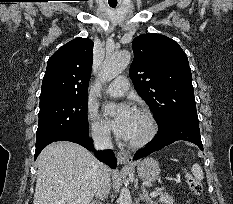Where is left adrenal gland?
I'll list each match as a JSON object with an SVG mask.
<instances>
[{"mask_svg":"<svg viewBox=\"0 0 233 204\" xmlns=\"http://www.w3.org/2000/svg\"><path fill=\"white\" fill-rule=\"evenodd\" d=\"M141 189H142V196H141V199H142L143 201H146L147 204H158L156 201H153V200L151 199V197L149 196V194H148V192H147V190L145 189L144 186H142Z\"/></svg>","mask_w":233,"mask_h":204,"instance_id":"a2214340","label":"left adrenal gland"}]
</instances>
